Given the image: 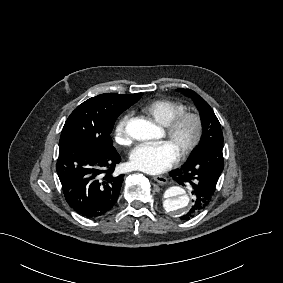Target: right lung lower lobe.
<instances>
[{
  "label": "right lung lower lobe",
  "mask_w": 283,
  "mask_h": 283,
  "mask_svg": "<svg viewBox=\"0 0 283 283\" xmlns=\"http://www.w3.org/2000/svg\"><path fill=\"white\" fill-rule=\"evenodd\" d=\"M119 162L115 148L97 150L78 141L60 145L56 167L69 206L90 219L110 212L123 182V175H112Z\"/></svg>",
  "instance_id": "right-lung-lower-lobe-1"
}]
</instances>
